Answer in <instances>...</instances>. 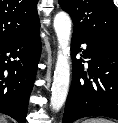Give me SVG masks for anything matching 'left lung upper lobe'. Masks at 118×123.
I'll list each match as a JSON object with an SVG mask.
<instances>
[{
  "label": "left lung upper lobe",
  "instance_id": "5c2ea615",
  "mask_svg": "<svg viewBox=\"0 0 118 123\" xmlns=\"http://www.w3.org/2000/svg\"><path fill=\"white\" fill-rule=\"evenodd\" d=\"M75 33L118 46V11L113 0H58Z\"/></svg>",
  "mask_w": 118,
  "mask_h": 123
}]
</instances>
